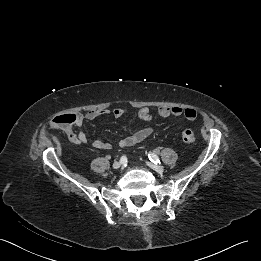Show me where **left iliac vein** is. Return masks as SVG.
<instances>
[{"label": "left iliac vein", "instance_id": "4c4485c4", "mask_svg": "<svg viewBox=\"0 0 261 261\" xmlns=\"http://www.w3.org/2000/svg\"><path fill=\"white\" fill-rule=\"evenodd\" d=\"M146 164L153 170H155L158 173H163L164 172V167L160 165H156L152 162H146Z\"/></svg>", "mask_w": 261, "mask_h": 261}]
</instances>
